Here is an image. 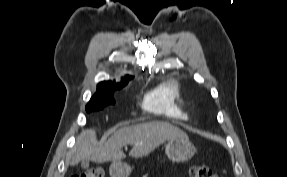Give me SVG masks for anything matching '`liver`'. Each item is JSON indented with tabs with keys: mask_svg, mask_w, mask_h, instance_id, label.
<instances>
[{
	"mask_svg": "<svg viewBox=\"0 0 287 177\" xmlns=\"http://www.w3.org/2000/svg\"><path fill=\"white\" fill-rule=\"evenodd\" d=\"M175 138H188V136L178 127L161 121L120 128L101 144H96L95 131L89 129L82 131L77 137L70 164L73 166L83 160L96 163L119 162L126 157L121 149L127 144L132 146L129 155L141 158L150 154L164 142Z\"/></svg>",
	"mask_w": 287,
	"mask_h": 177,
	"instance_id": "1",
	"label": "liver"
}]
</instances>
